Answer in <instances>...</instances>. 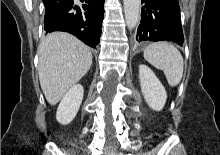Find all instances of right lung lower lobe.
<instances>
[{
  "mask_svg": "<svg viewBox=\"0 0 220 155\" xmlns=\"http://www.w3.org/2000/svg\"><path fill=\"white\" fill-rule=\"evenodd\" d=\"M45 5L44 30L65 31L94 48L99 43L104 18V0H43Z\"/></svg>",
  "mask_w": 220,
  "mask_h": 155,
  "instance_id": "1",
  "label": "right lung lower lobe"
}]
</instances>
